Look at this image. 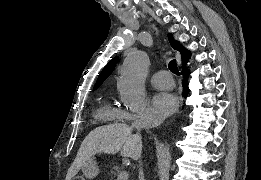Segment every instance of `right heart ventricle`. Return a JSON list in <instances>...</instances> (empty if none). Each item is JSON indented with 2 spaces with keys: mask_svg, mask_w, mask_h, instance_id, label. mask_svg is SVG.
I'll return each instance as SVG.
<instances>
[{
  "mask_svg": "<svg viewBox=\"0 0 261 180\" xmlns=\"http://www.w3.org/2000/svg\"><path fill=\"white\" fill-rule=\"evenodd\" d=\"M119 110L113 105L110 99H105L100 101L94 113L93 121H108V122H119ZM147 118H150L151 113H146ZM95 127H105V126H95Z\"/></svg>",
  "mask_w": 261,
  "mask_h": 180,
  "instance_id": "1",
  "label": "right heart ventricle"
}]
</instances>
